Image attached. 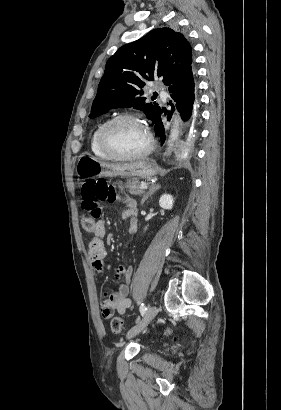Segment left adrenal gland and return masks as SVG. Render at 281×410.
Here are the masks:
<instances>
[{"mask_svg":"<svg viewBox=\"0 0 281 410\" xmlns=\"http://www.w3.org/2000/svg\"><path fill=\"white\" fill-rule=\"evenodd\" d=\"M159 189H160V184H152L149 187L148 192L143 196V198L141 200V205H143L144 202Z\"/></svg>","mask_w":281,"mask_h":410,"instance_id":"a2214340","label":"left adrenal gland"}]
</instances>
